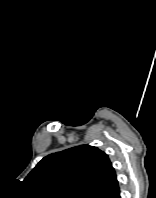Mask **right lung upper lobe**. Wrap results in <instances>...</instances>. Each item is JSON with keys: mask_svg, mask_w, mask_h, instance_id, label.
Listing matches in <instances>:
<instances>
[{"mask_svg": "<svg viewBox=\"0 0 156 198\" xmlns=\"http://www.w3.org/2000/svg\"><path fill=\"white\" fill-rule=\"evenodd\" d=\"M24 181L43 198H117L120 194L108 155L89 145L44 157Z\"/></svg>", "mask_w": 156, "mask_h": 198, "instance_id": "obj_1", "label": "right lung upper lobe"}]
</instances>
